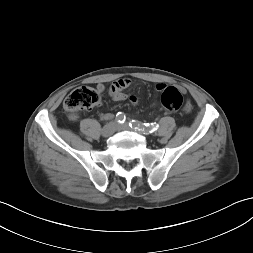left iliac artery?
Masks as SVG:
<instances>
[{
	"label": "left iliac artery",
	"instance_id": "obj_1",
	"mask_svg": "<svg viewBox=\"0 0 253 253\" xmlns=\"http://www.w3.org/2000/svg\"><path fill=\"white\" fill-rule=\"evenodd\" d=\"M129 126L131 128L140 129L146 132L147 134L155 132L159 127V125L156 123H141L137 120H131L129 122Z\"/></svg>",
	"mask_w": 253,
	"mask_h": 253
}]
</instances>
